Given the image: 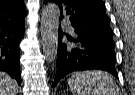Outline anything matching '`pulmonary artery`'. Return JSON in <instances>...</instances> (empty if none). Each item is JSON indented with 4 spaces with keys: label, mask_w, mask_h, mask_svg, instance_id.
I'll list each match as a JSON object with an SVG mask.
<instances>
[{
    "label": "pulmonary artery",
    "mask_w": 135,
    "mask_h": 95,
    "mask_svg": "<svg viewBox=\"0 0 135 95\" xmlns=\"http://www.w3.org/2000/svg\"><path fill=\"white\" fill-rule=\"evenodd\" d=\"M64 24H66L69 27V29L72 30V27L68 22H64Z\"/></svg>",
    "instance_id": "1"
}]
</instances>
